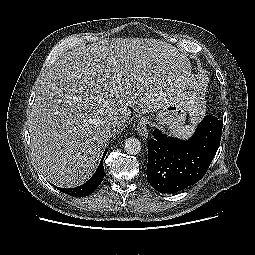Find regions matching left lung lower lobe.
Here are the masks:
<instances>
[{"mask_svg":"<svg viewBox=\"0 0 255 255\" xmlns=\"http://www.w3.org/2000/svg\"><path fill=\"white\" fill-rule=\"evenodd\" d=\"M223 122L207 115L185 141L154 130L148 142L147 178L161 193H176L195 184L206 173L221 140Z\"/></svg>","mask_w":255,"mask_h":255,"instance_id":"left-lung-lower-lobe-1","label":"left lung lower lobe"}]
</instances>
